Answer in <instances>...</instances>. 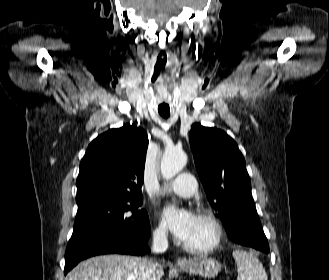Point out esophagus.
Instances as JSON below:
<instances>
[{
	"label": "esophagus",
	"mask_w": 329,
	"mask_h": 280,
	"mask_svg": "<svg viewBox=\"0 0 329 280\" xmlns=\"http://www.w3.org/2000/svg\"><path fill=\"white\" fill-rule=\"evenodd\" d=\"M189 263V261L186 259V258H179L178 260H177V264L178 265H186V264H188Z\"/></svg>",
	"instance_id": "34e87169"
}]
</instances>
